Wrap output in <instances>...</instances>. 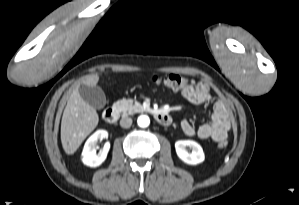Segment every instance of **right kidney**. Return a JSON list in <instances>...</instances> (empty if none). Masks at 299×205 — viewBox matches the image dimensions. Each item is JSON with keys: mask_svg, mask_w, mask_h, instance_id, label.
<instances>
[{"mask_svg": "<svg viewBox=\"0 0 299 205\" xmlns=\"http://www.w3.org/2000/svg\"><path fill=\"white\" fill-rule=\"evenodd\" d=\"M105 138H108V133L105 130H97L86 141L82 151V162L89 167H98L101 165L108 154L110 144L107 142L104 147L97 153V143Z\"/></svg>", "mask_w": 299, "mask_h": 205, "instance_id": "1", "label": "right kidney"}]
</instances>
